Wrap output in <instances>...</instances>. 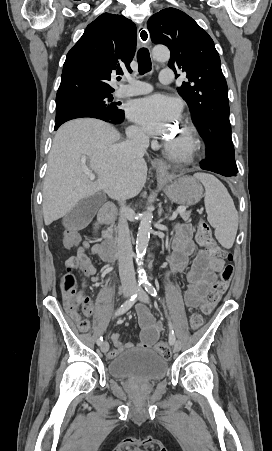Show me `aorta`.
I'll return each mask as SVG.
<instances>
[{
  "label": "aorta",
  "mask_w": 272,
  "mask_h": 451,
  "mask_svg": "<svg viewBox=\"0 0 272 451\" xmlns=\"http://www.w3.org/2000/svg\"><path fill=\"white\" fill-rule=\"evenodd\" d=\"M152 58L153 60H157V62H166L170 58V52L168 48H159V46H155L152 50ZM152 212H143L141 216V222L137 233L136 239V257L138 261V277L140 281L146 279V275L144 273V269H141V259L148 247V241L150 237L151 224H152Z\"/></svg>",
  "instance_id": "aorta-1"
}]
</instances>
